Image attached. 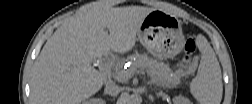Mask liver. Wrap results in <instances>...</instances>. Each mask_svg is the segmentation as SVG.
I'll return each instance as SVG.
<instances>
[{
	"label": "liver",
	"mask_w": 252,
	"mask_h": 104,
	"mask_svg": "<svg viewBox=\"0 0 252 104\" xmlns=\"http://www.w3.org/2000/svg\"><path fill=\"white\" fill-rule=\"evenodd\" d=\"M153 10L142 6L107 7L95 2L64 21L33 65V102L78 104L96 94L106 76L91 66L92 60L110 51L132 50L142 21Z\"/></svg>",
	"instance_id": "1"
}]
</instances>
